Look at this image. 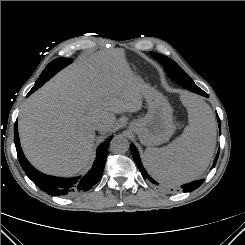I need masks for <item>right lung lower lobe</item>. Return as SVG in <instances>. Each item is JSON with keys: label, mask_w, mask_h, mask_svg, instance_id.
I'll use <instances>...</instances> for the list:
<instances>
[{"label": "right lung lower lobe", "mask_w": 245, "mask_h": 245, "mask_svg": "<svg viewBox=\"0 0 245 245\" xmlns=\"http://www.w3.org/2000/svg\"><path fill=\"white\" fill-rule=\"evenodd\" d=\"M51 74H47V76H41L37 80L40 81V84L33 87L28 96L32 94L35 90L41 87L46 81L51 78ZM14 140L15 146L17 150V155L19 162L26 172L28 177L36 183L42 190L47 191L48 194L52 196H59V195H73L76 193L84 192L93 187L102 177L104 166L106 163L107 153H108V146L111 141L107 139L103 142L97 149V158L95 160L93 168L83 177H75V178H58L53 176L45 175L38 170H36L26 159L24 156L19 136H18V128H17V121L14 125Z\"/></svg>", "instance_id": "obj_1"}]
</instances>
